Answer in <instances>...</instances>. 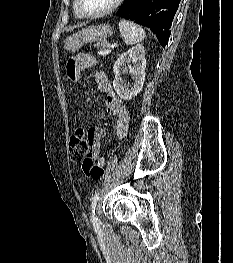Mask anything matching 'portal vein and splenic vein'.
Listing matches in <instances>:
<instances>
[{
	"mask_svg": "<svg viewBox=\"0 0 233 263\" xmlns=\"http://www.w3.org/2000/svg\"><path fill=\"white\" fill-rule=\"evenodd\" d=\"M110 52H111V49L108 48V49L99 51L98 54L104 56V55L109 54Z\"/></svg>",
	"mask_w": 233,
	"mask_h": 263,
	"instance_id": "portal-vein-and-splenic-vein-1",
	"label": "portal vein and splenic vein"
}]
</instances>
